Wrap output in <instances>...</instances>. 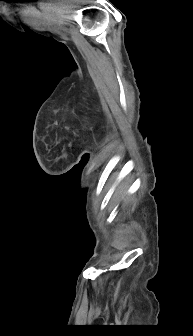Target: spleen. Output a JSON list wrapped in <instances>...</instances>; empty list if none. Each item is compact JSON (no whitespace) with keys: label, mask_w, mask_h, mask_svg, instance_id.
<instances>
[{"label":"spleen","mask_w":193,"mask_h":336,"mask_svg":"<svg viewBox=\"0 0 193 336\" xmlns=\"http://www.w3.org/2000/svg\"><path fill=\"white\" fill-rule=\"evenodd\" d=\"M127 189V186H126V183L125 184H122L119 188V194H123Z\"/></svg>","instance_id":"3e777b00"}]
</instances>
